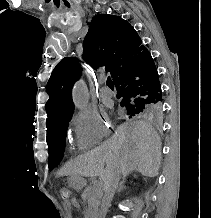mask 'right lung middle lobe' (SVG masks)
I'll return each instance as SVG.
<instances>
[{
	"label": "right lung middle lobe",
	"instance_id": "1",
	"mask_svg": "<svg viewBox=\"0 0 211 218\" xmlns=\"http://www.w3.org/2000/svg\"><path fill=\"white\" fill-rule=\"evenodd\" d=\"M121 107L127 110L129 118L142 112L158 113L162 110V100L160 101H148L140 98H121ZM72 113L62 117L54 126L52 130L47 134V144L49 150V170L54 169L62 160L66 131L68 128V122L71 120Z\"/></svg>",
	"mask_w": 211,
	"mask_h": 218
}]
</instances>
